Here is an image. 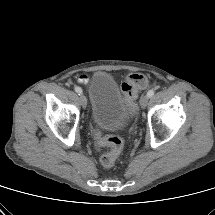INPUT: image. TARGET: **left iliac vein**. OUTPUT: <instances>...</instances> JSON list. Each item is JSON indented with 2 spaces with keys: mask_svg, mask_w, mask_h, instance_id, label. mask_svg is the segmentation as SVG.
Returning <instances> with one entry per match:
<instances>
[{
  "mask_svg": "<svg viewBox=\"0 0 215 215\" xmlns=\"http://www.w3.org/2000/svg\"><path fill=\"white\" fill-rule=\"evenodd\" d=\"M149 97L147 95H143L140 99V105L142 108H146L148 105Z\"/></svg>",
  "mask_w": 215,
  "mask_h": 215,
  "instance_id": "obj_1",
  "label": "left iliac vein"
}]
</instances>
